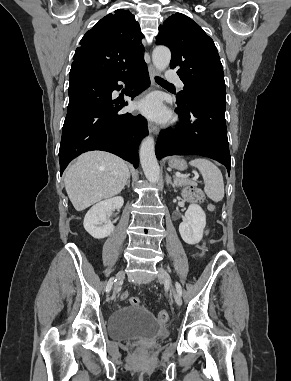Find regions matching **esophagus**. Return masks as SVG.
<instances>
[{
  "mask_svg": "<svg viewBox=\"0 0 291 381\" xmlns=\"http://www.w3.org/2000/svg\"><path fill=\"white\" fill-rule=\"evenodd\" d=\"M148 71H149L151 83L154 86L155 85V77L158 75V71L156 70V68L152 64H150L148 66ZM148 130L152 134H158V132H159L158 126L152 122L148 123Z\"/></svg>",
  "mask_w": 291,
  "mask_h": 381,
  "instance_id": "esophagus-1",
  "label": "esophagus"
}]
</instances>
